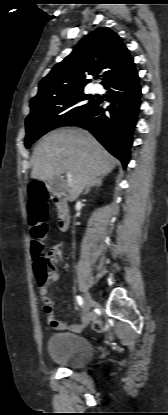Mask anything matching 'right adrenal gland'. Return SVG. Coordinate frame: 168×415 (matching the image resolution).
<instances>
[{
    "mask_svg": "<svg viewBox=\"0 0 168 415\" xmlns=\"http://www.w3.org/2000/svg\"><path fill=\"white\" fill-rule=\"evenodd\" d=\"M103 179H104V176L102 175V176H99L98 178H96L88 187H87V189H86V191H85V194H88L89 193V191H90V188L91 187H94V186H97V187H99V186H101L102 185V182H103Z\"/></svg>",
    "mask_w": 168,
    "mask_h": 415,
    "instance_id": "right-adrenal-gland-1",
    "label": "right adrenal gland"
}]
</instances>
